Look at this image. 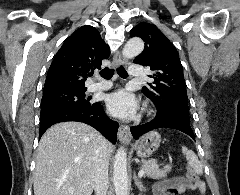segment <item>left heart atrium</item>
Listing matches in <instances>:
<instances>
[{
  "instance_id": "39dd6f15",
  "label": "left heart atrium",
  "mask_w": 240,
  "mask_h": 195,
  "mask_svg": "<svg viewBox=\"0 0 240 195\" xmlns=\"http://www.w3.org/2000/svg\"><path fill=\"white\" fill-rule=\"evenodd\" d=\"M106 103L108 111L113 116L122 119L133 118L138 110L136 97L125 89H119L109 94Z\"/></svg>"
}]
</instances>
